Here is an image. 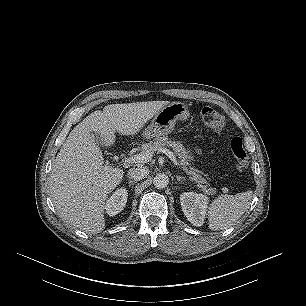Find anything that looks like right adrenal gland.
I'll return each instance as SVG.
<instances>
[{
    "label": "right adrenal gland",
    "mask_w": 306,
    "mask_h": 306,
    "mask_svg": "<svg viewBox=\"0 0 306 306\" xmlns=\"http://www.w3.org/2000/svg\"><path fill=\"white\" fill-rule=\"evenodd\" d=\"M128 183H129V185H132V186L135 184V182L132 181V180H129Z\"/></svg>",
    "instance_id": "obj_1"
}]
</instances>
